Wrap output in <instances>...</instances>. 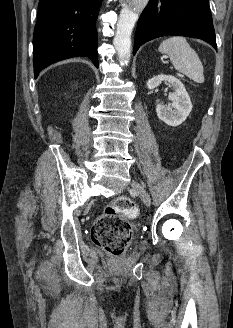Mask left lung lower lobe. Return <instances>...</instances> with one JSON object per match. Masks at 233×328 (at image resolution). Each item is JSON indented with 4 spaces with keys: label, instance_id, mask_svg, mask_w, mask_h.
Listing matches in <instances>:
<instances>
[{
    "label": "left lung lower lobe",
    "instance_id": "1",
    "mask_svg": "<svg viewBox=\"0 0 233 328\" xmlns=\"http://www.w3.org/2000/svg\"><path fill=\"white\" fill-rule=\"evenodd\" d=\"M164 35L199 38L217 49L209 0H150L138 21L133 54Z\"/></svg>",
    "mask_w": 233,
    "mask_h": 328
}]
</instances>
